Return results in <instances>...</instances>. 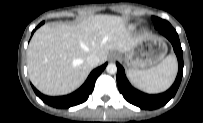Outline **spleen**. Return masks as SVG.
<instances>
[{"label": "spleen", "instance_id": "1", "mask_svg": "<svg viewBox=\"0 0 203 123\" xmlns=\"http://www.w3.org/2000/svg\"><path fill=\"white\" fill-rule=\"evenodd\" d=\"M177 73V61L173 55L167 56L157 66L147 70L127 71L131 83L148 93L166 90L173 82Z\"/></svg>", "mask_w": 203, "mask_h": 123}]
</instances>
